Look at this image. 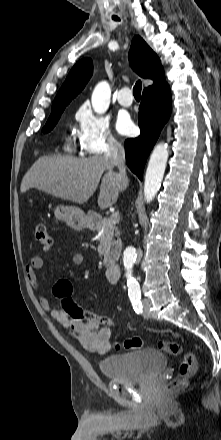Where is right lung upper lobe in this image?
Listing matches in <instances>:
<instances>
[{
	"label": "right lung upper lobe",
	"instance_id": "cb5924a9",
	"mask_svg": "<svg viewBox=\"0 0 221 440\" xmlns=\"http://www.w3.org/2000/svg\"><path fill=\"white\" fill-rule=\"evenodd\" d=\"M129 61L134 71L143 78L154 80L152 86L144 88L153 89L164 82V73L158 56L147 43L138 35L132 39ZM93 73V63L89 58L78 61L69 72L65 82L58 91L53 108L66 107L85 87Z\"/></svg>",
	"mask_w": 221,
	"mask_h": 440
}]
</instances>
